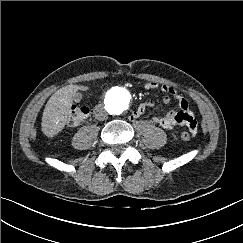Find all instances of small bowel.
I'll return each instance as SVG.
<instances>
[{
    "label": "small bowel",
    "mask_w": 243,
    "mask_h": 243,
    "mask_svg": "<svg viewBox=\"0 0 243 243\" xmlns=\"http://www.w3.org/2000/svg\"><path fill=\"white\" fill-rule=\"evenodd\" d=\"M146 90L159 89L163 94V102L168 104L171 101V97L178 101L180 107L179 111H170L162 116H156L153 118L154 123L161 126L164 129H171L178 125H183L188 128L190 133L194 136L198 130V123L190 109L189 101L184 98L175 88L169 85H159L156 82H148L144 85ZM154 103L146 101L138 106L134 111L133 117L137 118L142 115L147 109L153 108Z\"/></svg>",
    "instance_id": "c3829d8e"
}]
</instances>
